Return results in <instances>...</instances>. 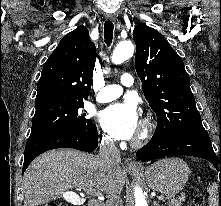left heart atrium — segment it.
I'll list each match as a JSON object with an SVG mask.
<instances>
[{"label": "left heart atrium", "mask_w": 221, "mask_h": 206, "mask_svg": "<svg viewBox=\"0 0 221 206\" xmlns=\"http://www.w3.org/2000/svg\"><path fill=\"white\" fill-rule=\"evenodd\" d=\"M105 130L117 139H132L139 132L140 120L135 104L114 103L101 113Z\"/></svg>", "instance_id": "left-heart-atrium-1"}]
</instances>
